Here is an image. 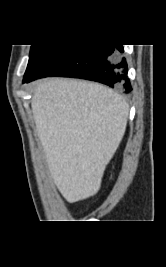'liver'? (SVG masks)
Listing matches in <instances>:
<instances>
[{
	"instance_id": "1",
	"label": "liver",
	"mask_w": 166,
	"mask_h": 267,
	"mask_svg": "<svg viewBox=\"0 0 166 267\" xmlns=\"http://www.w3.org/2000/svg\"><path fill=\"white\" fill-rule=\"evenodd\" d=\"M31 107L62 196L74 203L97 194L126 130L127 102L97 83L50 78L36 83Z\"/></svg>"
}]
</instances>
